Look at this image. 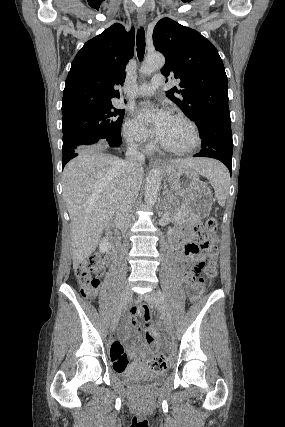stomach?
<instances>
[{
	"label": "stomach",
	"instance_id": "0dacf381",
	"mask_svg": "<svg viewBox=\"0 0 285 427\" xmlns=\"http://www.w3.org/2000/svg\"><path fill=\"white\" fill-rule=\"evenodd\" d=\"M163 174L172 191L185 199L191 220L203 219L209 215L213 195L199 180V173L195 169L169 163L163 167Z\"/></svg>",
	"mask_w": 285,
	"mask_h": 427
}]
</instances>
